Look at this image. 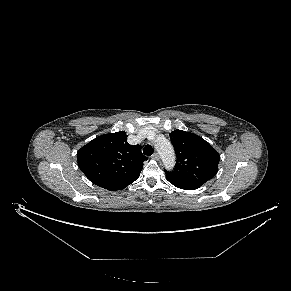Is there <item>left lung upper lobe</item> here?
Masks as SVG:
<instances>
[{"label":"left lung upper lobe","mask_w":291,"mask_h":291,"mask_svg":"<svg viewBox=\"0 0 291 291\" xmlns=\"http://www.w3.org/2000/svg\"><path fill=\"white\" fill-rule=\"evenodd\" d=\"M169 136L177 155L174 170H164L170 183L202 186L215 176L220 155L207 141L183 130H175Z\"/></svg>","instance_id":"1"}]
</instances>
